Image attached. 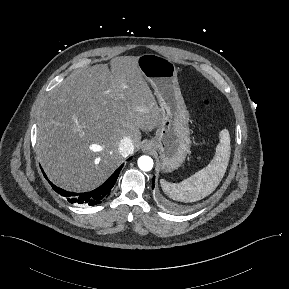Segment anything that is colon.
I'll use <instances>...</instances> for the list:
<instances>
[{"label": "colon", "instance_id": "obj_1", "mask_svg": "<svg viewBox=\"0 0 289 289\" xmlns=\"http://www.w3.org/2000/svg\"><path fill=\"white\" fill-rule=\"evenodd\" d=\"M202 105L204 107H208L209 106V101L207 99H202Z\"/></svg>", "mask_w": 289, "mask_h": 289}]
</instances>
